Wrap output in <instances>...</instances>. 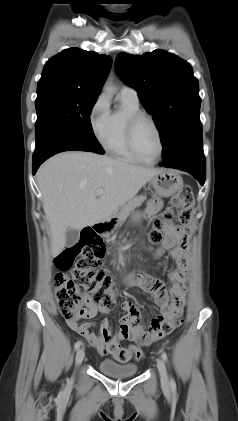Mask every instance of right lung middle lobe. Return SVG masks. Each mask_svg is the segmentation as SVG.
Masks as SVG:
<instances>
[{
  "instance_id": "dd1d6c3e",
  "label": "right lung middle lobe",
  "mask_w": 238,
  "mask_h": 421,
  "mask_svg": "<svg viewBox=\"0 0 238 421\" xmlns=\"http://www.w3.org/2000/svg\"><path fill=\"white\" fill-rule=\"evenodd\" d=\"M97 97V94L59 88L37 89L36 142L48 129L53 128L70 135L91 151L103 154L90 122V113Z\"/></svg>"
}]
</instances>
